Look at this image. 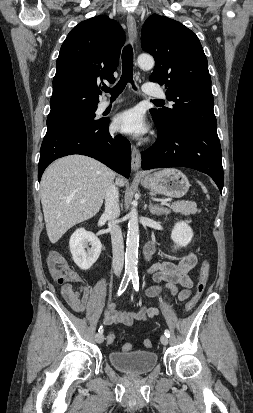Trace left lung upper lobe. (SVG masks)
I'll return each mask as SVG.
<instances>
[{
  "mask_svg": "<svg viewBox=\"0 0 253 413\" xmlns=\"http://www.w3.org/2000/svg\"><path fill=\"white\" fill-rule=\"evenodd\" d=\"M141 45L156 61L150 81L165 85L171 109H151L160 133L197 124L217 129L208 62L194 32L178 21L151 15L142 28Z\"/></svg>",
  "mask_w": 253,
  "mask_h": 413,
  "instance_id": "1",
  "label": "left lung upper lobe"
}]
</instances>
